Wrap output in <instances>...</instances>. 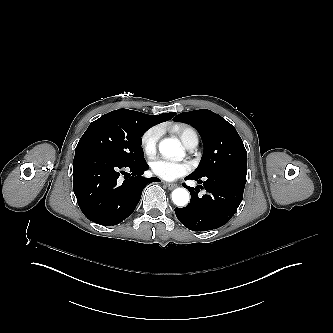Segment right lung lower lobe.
<instances>
[{"label":"right lung lower lobe","mask_w":333,"mask_h":333,"mask_svg":"<svg viewBox=\"0 0 333 333\" xmlns=\"http://www.w3.org/2000/svg\"><path fill=\"white\" fill-rule=\"evenodd\" d=\"M147 169L146 161L124 164L101 151L77 148L73 163V190L83 214L105 226L117 225L129 217L139 203L145 185L160 181L156 177H141ZM123 174L124 181L120 178Z\"/></svg>","instance_id":"right-lung-lower-lobe-1"}]
</instances>
